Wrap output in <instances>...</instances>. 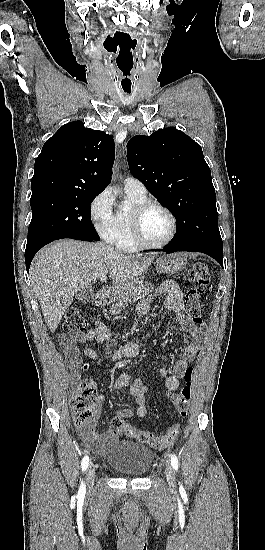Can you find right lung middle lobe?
Instances as JSON below:
<instances>
[{"mask_svg": "<svg viewBox=\"0 0 265 550\" xmlns=\"http://www.w3.org/2000/svg\"><path fill=\"white\" fill-rule=\"evenodd\" d=\"M98 194L72 195L44 191L32 193V220L25 253H30L65 235L100 240L92 225L90 206Z\"/></svg>", "mask_w": 265, "mask_h": 550, "instance_id": "1", "label": "right lung middle lobe"}]
</instances>
